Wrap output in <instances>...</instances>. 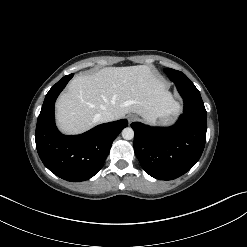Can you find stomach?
<instances>
[{
    "label": "stomach",
    "instance_id": "obj_1",
    "mask_svg": "<svg viewBox=\"0 0 247 247\" xmlns=\"http://www.w3.org/2000/svg\"><path fill=\"white\" fill-rule=\"evenodd\" d=\"M179 113H180V108L167 116L158 118L156 122L159 125H169L173 123V121L176 119Z\"/></svg>",
    "mask_w": 247,
    "mask_h": 247
}]
</instances>
